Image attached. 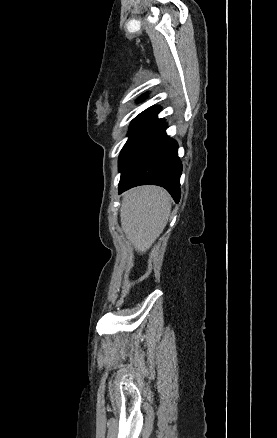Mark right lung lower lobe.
<instances>
[{
    "mask_svg": "<svg viewBox=\"0 0 277 438\" xmlns=\"http://www.w3.org/2000/svg\"><path fill=\"white\" fill-rule=\"evenodd\" d=\"M164 123L119 182V193L129 188L152 184L164 187L176 203L180 199L182 164L177 142L166 135Z\"/></svg>",
    "mask_w": 277,
    "mask_h": 438,
    "instance_id": "1",
    "label": "right lung lower lobe"
}]
</instances>
